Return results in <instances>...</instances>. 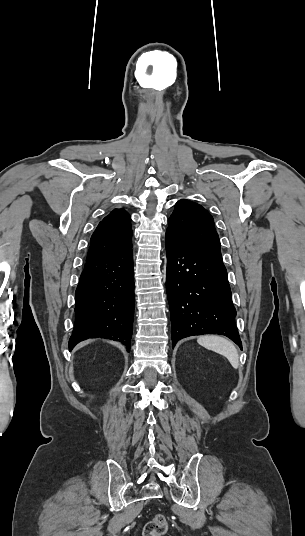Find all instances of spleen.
I'll return each mask as SVG.
<instances>
[{"label": "spleen", "mask_w": 305, "mask_h": 536, "mask_svg": "<svg viewBox=\"0 0 305 536\" xmlns=\"http://www.w3.org/2000/svg\"><path fill=\"white\" fill-rule=\"evenodd\" d=\"M197 342L200 344V346H203V348L213 350V352H217V354L225 356L233 368H238V352L230 340H225V338H220V336H200Z\"/></svg>", "instance_id": "3e777b00"}]
</instances>
